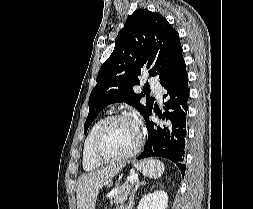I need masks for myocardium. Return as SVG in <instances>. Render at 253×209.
<instances>
[{"instance_id":"1","label":"myocardium","mask_w":253,"mask_h":209,"mask_svg":"<svg viewBox=\"0 0 253 209\" xmlns=\"http://www.w3.org/2000/svg\"><path fill=\"white\" fill-rule=\"evenodd\" d=\"M130 120L132 121L136 127H137V141L135 146L126 154L119 156V157H107L104 156L103 154H101L100 152V143L103 137V134L105 132V130L107 129V127L117 121V120ZM142 140H143V135H142V131L141 128L138 124V122L134 119V117L128 113H117L114 115H111L109 117H107L103 123L100 125V127L98 128L96 135L94 137L93 140V145H92V156L93 158L98 161L99 163H118V162H124L130 158H132L133 156H135L141 146H142Z\"/></svg>"}]
</instances>
